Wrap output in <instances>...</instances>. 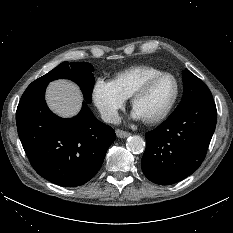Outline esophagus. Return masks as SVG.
I'll use <instances>...</instances> for the list:
<instances>
[{"label":"esophagus","instance_id":"obj_1","mask_svg":"<svg viewBox=\"0 0 233 233\" xmlns=\"http://www.w3.org/2000/svg\"><path fill=\"white\" fill-rule=\"evenodd\" d=\"M116 135L119 137V138H127L129 137L131 134L129 132H126V131H123L121 129H117L116 130Z\"/></svg>","mask_w":233,"mask_h":233}]
</instances>
